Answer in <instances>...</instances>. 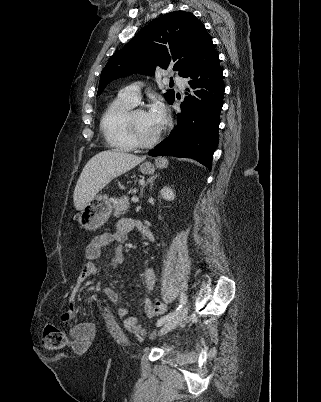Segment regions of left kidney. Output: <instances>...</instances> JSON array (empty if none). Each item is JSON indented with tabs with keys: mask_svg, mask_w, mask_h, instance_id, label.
<instances>
[{
	"mask_svg": "<svg viewBox=\"0 0 321 402\" xmlns=\"http://www.w3.org/2000/svg\"><path fill=\"white\" fill-rule=\"evenodd\" d=\"M160 193L161 196L167 201H172L175 198L174 191L169 187L162 188Z\"/></svg>",
	"mask_w": 321,
	"mask_h": 402,
	"instance_id": "1",
	"label": "left kidney"
}]
</instances>
